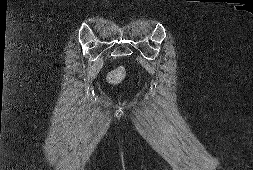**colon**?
<instances>
[{
    "label": "colon",
    "instance_id": "5ec220e1",
    "mask_svg": "<svg viewBox=\"0 0 253 170\" xmlns=\"http://www.w3.org/2000/svg\"><path fill=\"white\" fill-rule=\"evenodd\" d=\"M125 74V69L123 67H118L108 74L107 80L111 84H117L123 80Z\"/></svg>",
    "mask_w": 253,
    "mask_h": 170
}]
</instances>
